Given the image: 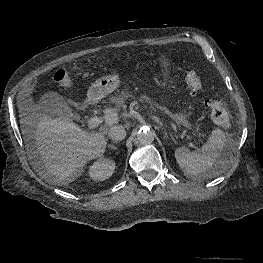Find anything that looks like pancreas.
<instances>
[{"instance_id": "pancreas-1", "label": "pancreas", "mask_w": 263, "mask_h": 263, "mask_svg": "<svg viewBox=\"0 0 263 263\" xmlns=\"http://www.w3.org/2000/svg\"><path fill=\"white\" fill-rule=\"evenodd\" d=\"M127 98H135L131 94H129L127 91H123L121 95V99H127ZM138 102L140 103H147L151 106L152 110H155V105L151 102V100L146 96H141L138 98Z\"/></svg>"}]
</instances>
